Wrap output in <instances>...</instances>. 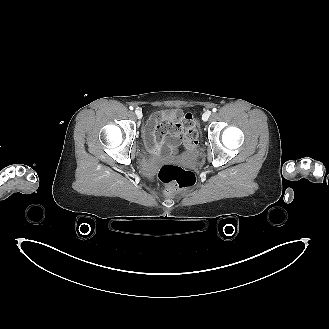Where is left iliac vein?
<instances>
[{"label":"left iliac vein","instance_id":"1","mask_svg":"<svg viewBox=\"0 0 329 329\" xmlns=\"http://www.w3.org/2000/svg\"><path fill=\"white\" fill-rule=\"evenodd\" d=\"M210 115H211L210 111H205L202 115V120L207 121L209 119Z\"/></svg>","mask_w":329,"mask_h":329}]
</instances>
